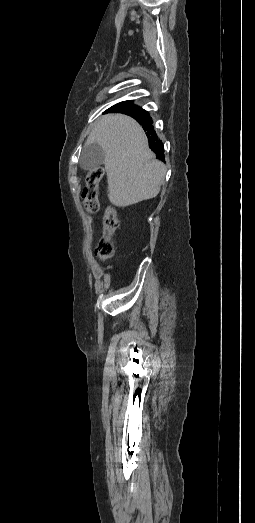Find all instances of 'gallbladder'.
Masks as SVG:
<instances>
[{"instance_id": "bac80fb5", "label": "gallbladder", "mask_w": 255, "mask_h": 523, "mask_svg": "<svg viewBox=\"0 0 255 523\" xmlns=\"http://www.w3.org/2000/svg\"><path fill=\"white\" fill-rule=\"evenodd\" d=\"M105 160V152L102 146H99L97 142L94 144H88L81 152L79 166L82 170H94L99 168Z\"/></svg>"}]
</instances>
